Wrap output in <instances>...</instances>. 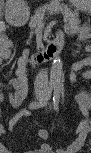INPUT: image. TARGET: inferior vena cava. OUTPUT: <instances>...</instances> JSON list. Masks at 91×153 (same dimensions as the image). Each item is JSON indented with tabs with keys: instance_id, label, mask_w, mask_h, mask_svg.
Returning <instances> with one entry per match:
<instances>
[{
	"instance_id": "inferior-vena-cava-1",
	"label": "inferior vena cava",
	"mask_w": 91,
	"mask_h": 153,
	"mask_svg": "<svg viewBox=\"0 0 91 153\" xmlns=\"http://www.w3.org/2000/svg\"><path fill=\"white\" fill-rule=\"evenodd\" d=\"M47 86L48 75L46 71H42L36 76L34 87L36 91H45Z\"/></svg>"
}]
</instances>
